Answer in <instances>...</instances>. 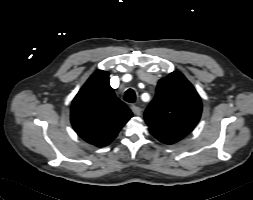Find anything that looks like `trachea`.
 <instances>
[{
	"mask_svg": "<svg viewBox=\"0 0 253 200\" xmlns=\"http://www.w3.org/2000/svg\"><path fill=\"white\" fill-rule=\"evenodd\" d=\"M124 100L129 103H134L136 100V94L133 89H128L125 92Z\"/></svg>",
	"mask_w": 253,
	"mask_h": 200,
	"instance_id": "trachea-1",
	"label": "trachea"
}]
</instances>
